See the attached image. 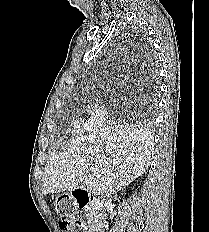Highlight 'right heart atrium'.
I'll use <instances>...</instances> for the list:
<instances>
[{
	"label": "right heart atrium",
	"instance_id": "d8ad5b80",
	"mask_svg": "<svg viewBox=\"0 0 209 232\" xmlns=\"http://www.w3.org/2000/svg\"><path fill=\"white\" fill-rule=\"evenodd\" d=\"M110 119V115L102 102L96 100L91 102L88 108V119L86 128L89 131H97L104 127Z\"/></svg>",
	"mask_w": 209,
	"mask_h": 232
}]
</instances>
